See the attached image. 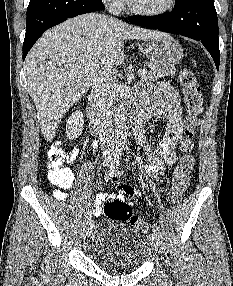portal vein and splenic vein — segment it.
<instances>
[{
    "mask_svg": "<svg viewBox=\"0 0 233 286\" xmlns=\"http://www.w3.org/2000/svg\"><path fill=\"white\" fill-rule=\"evenodd\" d=\"M146 73V71L144 70V69H140L139 70V74L142 76V75H144Z\"/></svg>",
    "mask_w": 233,
    "mask_h": 286,
    "instance_id": "18ae733b",
    "label": "portal vein and splenic vein"
}]
</instances>
